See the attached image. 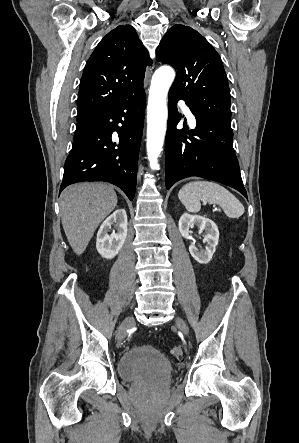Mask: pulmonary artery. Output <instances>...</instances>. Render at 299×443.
Masks as SVG:
<instances>
[{
    "label": "pulmonary artery",
    "mask_w": 299,
    "mask_h": 443,
    "mask_svg": "<svg viewBox=\"0 0 299 443\" xmlns=\"http://www.w3.org/2000/svg\"><path fill=\"white\" fill-rule=\"evenodd\" d=\"M183 111H184L185 116H186V118L188 120V123L190 125H195V123H196L195 116L192 114V112L189 110V108L184 106L183 107Z\"/></svg>",
    "instance_id": "obj_1"
}]
</instances>
